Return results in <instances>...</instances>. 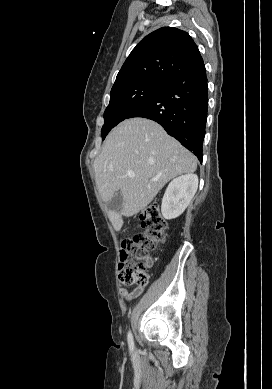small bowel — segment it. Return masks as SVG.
<instances>
[{
  "mask_svg": "<svg viewBox=\"0 0 272 389\" xmlns=\"http://www.w3.org/2000/svg\"><path fill=\"white\" fill-rule=\"evenodd\" d=\"M147 268L148 267H151L152 265V260L151 258H147ZM143 291V287H137L133 290H128V289H125V288H122L120 290L122 296L127 299V300H132L134 298H137Z\"/></svg>",
  "mask_w": 272,
  "mask_h": 389,
  "instance_id": "1",
  "label": "small bowel"
}]
</instances>
